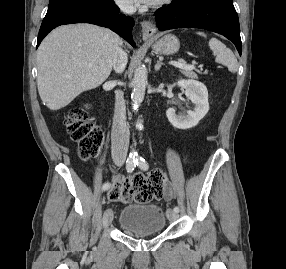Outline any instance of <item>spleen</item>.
<instances>
[{"instance_id": "obj_1", "label": "spleen", "mask_w": 286, "mask_h": 269, "mask_svg": "<svg viewBox=\"0 0 286 269\" xmlns=\"http://www.w3.org/2000/svg\"><path fill=\"white\" fill-rule=\"evenodd\" d=\"M197 34L206 37L202 32H198ZM209 47L213 51V55L215 56V61L217 63L227 66L228 70L232 73L237 72L238 62L235 55L220 40L212 38L209 41Z\"/></svg>"}]
</instances>
